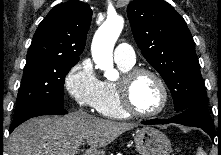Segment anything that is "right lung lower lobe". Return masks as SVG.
<instances>
[{"mask_svg": "<svg viewBox=\"0 0 221 155\" xmlns=\"http://www.w3.org/2000/svg\"><path fill=\"white\" fill-rule=\"evenodd\" d=\"M67 111L65 109H63L62 107H43L40 108L38 110H36L35 112L21 118L18 120H14L10 126V130L9 133H11L18 125H20L21 123H23L24 121L32 118V117H36V116H41V115H48V114H66Z\"/></svg>", "mask_w": 221, "mask_h": 155, "instance_id": "right-lung-lower-lobe-1", "label": "right lung lower lobe"}]
</instances>
